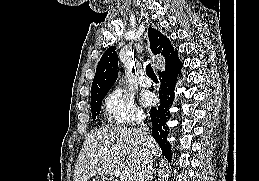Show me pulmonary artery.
<instances>
[{
  "mask_svg": "<svg viewBox=\"0 0 259 181\" xmlns=\"http://www.w3.org/2000/svg\"><path fill=\"white\" fill-rule=\"evenodd\" d=\"M138 82L142 87H150L152 84L151 80L145 75L143 71L138 78Z\"/></svg>",
  "mask_w": 259,
  "mask_h": 181,
  "instance_id": "e3ab8cb5",
  "label": "pulmonary artery"
}]
</instances>
